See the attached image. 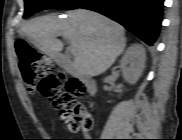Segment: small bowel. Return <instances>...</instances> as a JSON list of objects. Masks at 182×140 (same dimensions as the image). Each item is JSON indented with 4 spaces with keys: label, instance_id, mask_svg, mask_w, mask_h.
Segmentation results:
<instances>
[{
    "label": "small bowel",
    "instance_id": "1",
    "mask_svg": "<svg viewBox=\"0 0 182 140\" xmlns=\"http://www.w3.org/2000/svg\"><path fill=\"white\" fill-rule=\"evenodd\" d=\"M83 135H84V136H87V133H86V132H83Z\"/></svg>",
    "mask_w": 182,
    "mask_h": 140
}]
</instances>
